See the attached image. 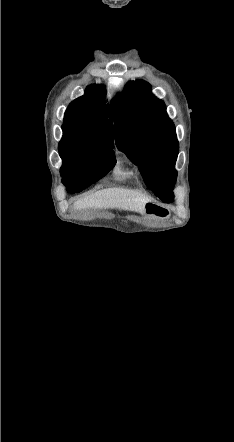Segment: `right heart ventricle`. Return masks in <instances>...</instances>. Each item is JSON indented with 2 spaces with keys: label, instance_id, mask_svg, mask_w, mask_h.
Here are the masks:
<instances>
[{
  "label": "right heart ventricle",
  "instance_id": "e07e8e85",
  "mask_svg": "<svg viewBox=\"0 0 234 442\" xmlns=\"http://www.w3.org/2000/svg\"><path fill=\"white\" fill-rule=\"evenodd\" d=\"M115 173L116 174H120V175H132L134 173L133 169L131 168H121V167H117L115 169Z\"/></svg>",
  "mask_w": 234,
  "mask_h": 442
}]
</instances>
